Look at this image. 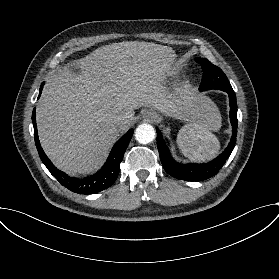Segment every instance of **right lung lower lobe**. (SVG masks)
<instances>
[{
	"label": "right lung lower lobe",
	"mask_w": 279,
	"mask_h": 279,
	"mask_svg": "<svg viewBox=\"0 0 279 279\" xmlns=\"http://www.w3.org/2000/svg\"><path fill=\"white\" fill-rule=\"evenodd\" d=\"M43 84L40 87L39 96L41 95ZM32 122L34 126L35 144L40 155V158L50 173L67 189L79 194H94L109 188L117 179L120 171V163L124 153L131 140L134 130L130 129L113 147L106 163L97 173L84 177H70L64 172L58 170L44 153L37 134L36 128V113L35 108L32 113Z\"/></svg>",
	"instance_id": "obj_1"
}]
</instances>
